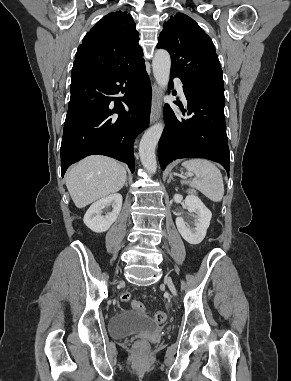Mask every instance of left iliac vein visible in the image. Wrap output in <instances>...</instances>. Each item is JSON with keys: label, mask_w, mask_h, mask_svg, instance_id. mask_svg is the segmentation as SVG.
Instances as JSON below:
<instances>
[{"label": "left iliac vein", "mask_w": 291, "mask_h": 381, "mask_svg": "<svg viewBox=\"0 0 291 381\" xmlns=\"http://www.w3.org/2000/svg\"><path fill=\"white\" fill-rule=\"evenodd\" d=\"M166 283L170 289V291L172 292L173 295L177 296V290H176V287L172 281V279L169 277V276H166Z\"/></svg>", "instance_id": "1"}]
</instances>
